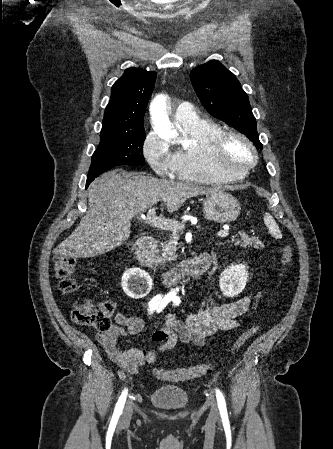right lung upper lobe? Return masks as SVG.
Wrapping results in <instances>:
<instances>
[{
	"instance_id": "obj_1",
	"label": "right lung upper lobe",
	"mask_w": 333,
	"mask_h": 449,
	"mask_svg": "<svg viewBox=\"0 0 333 449\" xmlns=\"http://www.w3.org/2000/svg\"><path fill=\"white\" fill-rule=\"evenodd\" d=\"M155 80L153 71L127 69L111 89L101 133L136 134L144 129V113Z\"/></svg>"
}]
</instances>
